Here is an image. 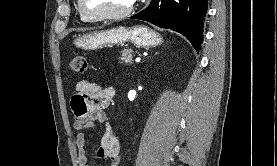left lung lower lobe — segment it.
I'll use <instances>...</instances> for the list:
<instances>
[{
    "mask_svg": "<svg viewBox=\"0 0 277 166\" xmlns=\"http://www.w3.org/2000/svg\"><path fill=\"white\" fill-rule=\"evenodd\" d=\"M207 1L152 0L146 9L131 18L177 31L199 50L203 41V22L207 13Z\"/></svg>",
    "mask_w": 277,
    "mask_h": 166,
    "instance_id": "1",
    "label": "left lung lower lobe"
}]
</instances>
